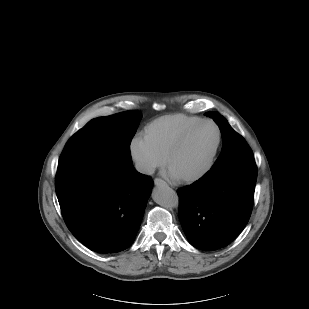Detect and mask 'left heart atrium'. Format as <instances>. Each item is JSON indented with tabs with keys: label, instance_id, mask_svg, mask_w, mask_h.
I'll return each mask as SVG.
<instances>
[{
	"label": "left heart atrium",
	"instance_id": "left-heart-atrium-1",
	"mask_svg": "<svg viewBox=\"0 0 309 309\" xmlns=\"http://www.w3.org/2000/svg\"><path fill=\"white\" fill-rule=\"evenodd\" d=\"M164 174L166 177L172 179V180H177L179 177L172 171L170 167H168L165 171Z\"/></svg>",
	"mask_w": 309,
	"mask_h": 309
}]
</instances>
